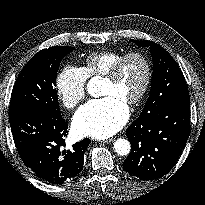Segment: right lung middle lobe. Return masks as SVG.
I'll use <instances>...</instances> for the list:
<instances>
[{
  "label": "right lung middle lobe",
  "mask_w": 205,
  "mask_h": 205,
  "mask_svg": "<svg viewBox=\"0 0 205 205\" xmlns=\"http://www.w3.org/2000/svg\"><path fill=\"white\" fill-rule=\"evenodd\" d=\"M75 48L56 46L35 54L22 69L12 90L9 111L29 109L62 117L55 89L62 59Z\"/></svg>",
  "instance_id": "dd1d6c3e"
}]
</instances>
